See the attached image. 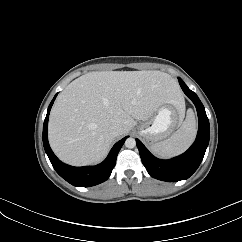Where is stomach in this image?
I'll return each instance as SVG.
<instances>
[{
    "label": "stomach",
    "instance_id": "1",
    "mask_svg": "<svg viewBox=\"0 0 242 242\" xmlns=\"http://www.w3.org/2000/svg\"><path fill=\"white\" fill-rule=\"evenodd\" d=\"M184 111L173 105H162L156 114L138 127V133L153 145L167 138L182 122Z\"/></svg>",
    "mask_w": 242,
    "mask_h": 242
}]
</instances>
